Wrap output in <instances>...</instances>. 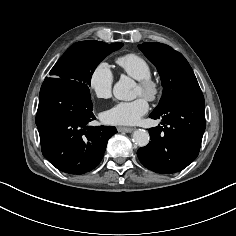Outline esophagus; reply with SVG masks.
I'll return each mask as SVG.
<instances>
[{"label":"esophagus","mask_w":236,"mask_h":236,"mask_svg":"<svg viewBox=\"0 0 236 236\" xmlns=\"http://www.w3.org/2000/svg\"><path fill=\"white\" fill-rule=\"evenodd\" d=\"M117 130H118V132L130 133V132H132L134 129L131 128V127H118Z\"/></svg>","instance_id":"1"}]
</instances>
